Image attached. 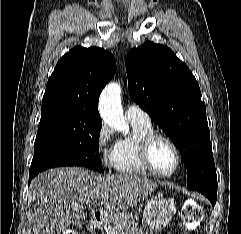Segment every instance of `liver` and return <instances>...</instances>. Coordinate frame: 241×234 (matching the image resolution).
Wrapping results in <instances>:
<instances>
[{"label":"liver","instance_id":"6515ba94","mask_svg":"<svg viewBox=\"0 0 241 234\" xmlns=\"http://www.w3.org/2000/svg\"><path fill=\"white\" fill-rule=\"evenodd\" d=\"M156 187L136 175H101L81 167L50 169L34 178L29 187V201L34 203L33 234H65L78 212L102 197H106L105 215L113 220Z\"/></svg>","mask_w":241,"mask_h":234}]
</instances>
